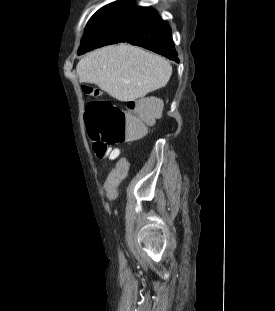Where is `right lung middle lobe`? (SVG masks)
Returning a JSON list of instances; mask_svg holds the SVG:
<instances>
[{"mask_svg":"<svg viewBox=\"0 0 275 311\" xmlns=\"http://www.w3.org/2000/svg\"><path fill=\"white\" fill-rule=\"evenodd\" d=\"M155 13L152 8L134 6L132 0H118L102 7L89 20L78 55L121 42L135 25Z\"/></svg>","mask_w":275,"mask_h":311,"instance_id":"right-lung-middle-lobe-1","label":"right lung middle lobe"}]
</instances>
